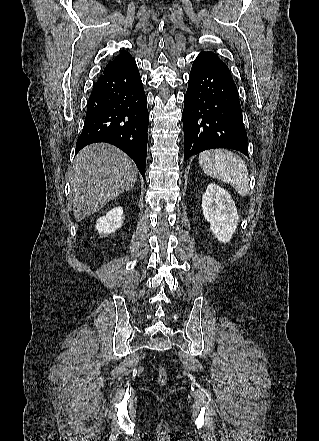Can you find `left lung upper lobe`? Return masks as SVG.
I'll return each mask as SVG.
<instances>
[{"instance_id": "1", "label": "left lung upper lobe", "mask_w": 319, "mask_h": 441, "mask_svg": "<svg viewBox=\"0 0 319 441\" xmlns=\"http://www.w3.org/2000/svg\"><path fill=\"white\" fill-rule=\"evenodd\" d=\"M203 53H207V54L210 55L211 57H213V58H215V59L221 61L220 58H219L216 54L214 55L213 53H209V52H203ZM221 62H222V61H221Z\"/></svg>"}]
</instances>
